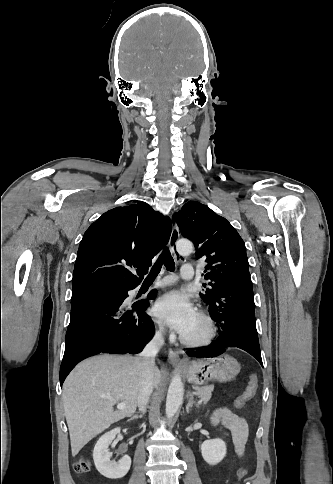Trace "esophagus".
Instances as JSON below:
<instances>
[{
	"mask_svg": "<svg viewBox=\"0 0 333 484\" xmlns=\"http://www.w3.org/2000/svg\"><path fill=\"white\" fill-rule=\"evenodd\" d=\"M179 235L180 234H179V229H178L177 225L173 224L170 239H169V247H170V250L174 254L175 257H177V255L175 253V246H176V243L179 239ZM168 361H169L170 364H172L174 366L183 364V361L180 359L178 353L176 351L172 350V349H169Z\"/></svg>",
	"mask_w": 333,
	"mask_h": 484,
	"instance_id": "34e87169",
	"label": "esophagus"
}]
</instances>
